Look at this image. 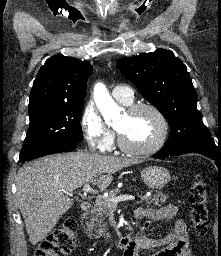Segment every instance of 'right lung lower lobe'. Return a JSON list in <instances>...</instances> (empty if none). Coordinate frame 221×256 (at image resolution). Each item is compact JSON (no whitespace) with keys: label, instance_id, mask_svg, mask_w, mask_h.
<instances>
[{"label":"right lung lower lobe","instance_id":"1","mask_svg":"<svg viewBox=\"0 0 221 256\" xmlns=\"http://www.w3.org/2000/svg\"><path fill=\"white\" fill-rule=\"evenodd\" d=\"M77 144L78 142H72V141H62V142L52 143L37 149L36 151L28 154L25 157H22L21 161L35 159L38 157H42V156L50 155L54 153L72 151L76 148Z\"/></svg>","mask_w":221,"mask_h":256}]
</instances>
